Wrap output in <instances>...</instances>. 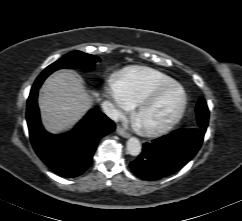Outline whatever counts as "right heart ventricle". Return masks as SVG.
Returning <instances> with one entry per match:
<instances>
[{"mask_svg": "<svg viewBox=\"0 0 242 221\" xmlns=\"http://www.w3.org/2000/svg\"><path fill=\"white\" fill-rule=\"evenodd\" d=\"M175 81L167 75L146 68H131L117 76L115 83L131 106H136L159 87Z\"/></svg>", "mask_w": 242, "mask_h": 221, "instance_id": "e07e8e85", "label": "right heart ventricle"}]
</instances>
